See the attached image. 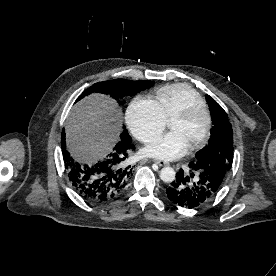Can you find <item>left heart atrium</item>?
I'll use <instances>...</instances> for the list:
<instances>
[{
  "label": "left heart atrium",
  "instance_id": "39dd6f15",
  "mask_svg": "<svg viewBox=\"0 0 276 276\" xmlns=\"http://www.w3.org/2000/svg\"><path fill=\"white\" fill-rule=\"evenodd\" d=\"M189 145L177 131L153 140L144 149V153L152 158L162 161H172L181 158L189 151Z\"/></svg>",
  "mask_w": 276,
  "mask_h": 276
}]
</instances>
